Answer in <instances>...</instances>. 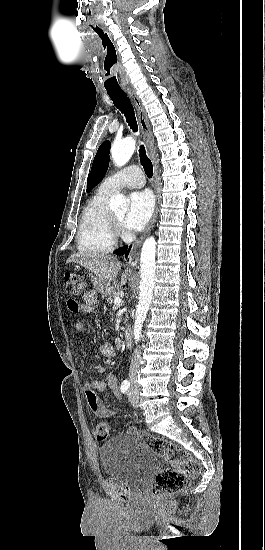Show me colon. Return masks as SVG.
<instances>
[{
    "instance_id": "5ec220e1",
    "label": "colon",
    "mask_w": 265,
    "mask_h": 550,
    "mask_svg": "<svg viewBox=\"0 0 265 550\" xmlns=\"http://www.w3.org/2000/svg\"><path fill=\"white\" fill-rule=\"evenodd\" d=\"M66 291L69 295L79 297L86 293V279L77 273L66 272L64 275ZM82 303L79 300L69 302V309L77 313ZM109 424L100 421L96 425V437L98 440H106L109 435ZM130 434L138 437L139 441L149 447L159 457L166 460L170 467L159 471L151 487V494L156 499L169 496L187 487L189 482L199 474L200 467L197 461L182 447L159 438L146 431H138L130 428Z\"/></svg>"
}]
</instances>
